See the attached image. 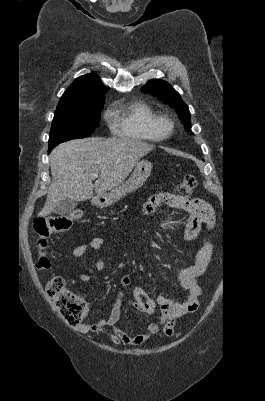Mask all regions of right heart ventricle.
Listing matches in <instances>:
<instances>
[{"instance_id":"e07e8e85","label":"right heart ventricle","mask_w":265,"mask_h":401,"mask_svg":"<svg viewBox=\"0 0 265 401\" xmlns=\"http://www.w3.org/2000/svg\"><path fill=\"white\" fill-rule=\"evenodd\" d=\"M111 115L118 116L119 130L126 136L158 140L154 125L161 116L147 102L123 95L111 107Z\"/></svg>"}]
</instances>
